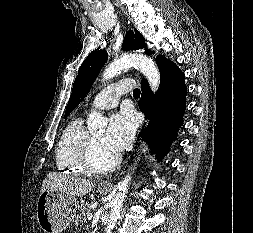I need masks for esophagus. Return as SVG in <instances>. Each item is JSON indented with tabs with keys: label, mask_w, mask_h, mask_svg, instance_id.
Segmentation results:
<instances>
[{
	"label": "esophagus",
	"mask_w": 253,
	"mask_h": 233,
	"mask_svg": "<svg viewBox=\"0 0 253 233\" xmlns=\"http://www.w3.org/2000/svg\"><path fill=\"white\" fill-rule=\"evenodd\" d=\"M101 185L110 187V186H112V183H110L108 181H103V182H101Z\"/></svg>",
	"instance_id": "34e87169"
}]
</instances>
